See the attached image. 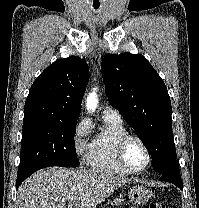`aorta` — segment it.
<instances>
[{
	"mask_svg": "<svg viewBox=\"0 0 199 208\" xmlns=\"http://www.w3.org/2000/svg\"><path fill=\"white\" fill-rule=\"evenodd\" d=\"M98 99L96 94V88L88 95L86 99V107L88 110L94 111L97 107Z\"/></svg>",
	"mask_w": 199,
	"mask_h": 208,
	"instance_id": "obj_1",
	"label": "aorta"
}]
</instances>
